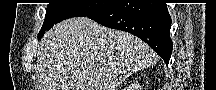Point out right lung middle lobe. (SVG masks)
<instances>
[{
  "label": "right lung middle lobe",
  "instance_id": "1",
  "mask_svg": "<svg viewBox=\"0 0 216 90\" xmlns=\"http://www.w3.org/2000/svg\"><path fill=\"white\" fill-rule=\"evenodd\" d=\"M110 5L111 4H49L47 6L43 26L38 34V39H41L47 30L51 29L62 20L77 16H88Z\"/></svg>",
  "mask_w": 216,
  "mask_h": 90
}]
</instances>
